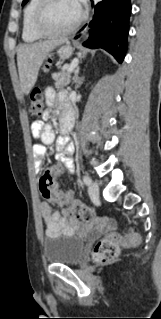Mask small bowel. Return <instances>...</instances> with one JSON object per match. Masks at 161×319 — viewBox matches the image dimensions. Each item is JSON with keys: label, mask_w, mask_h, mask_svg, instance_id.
I'll return each instance as SVG.
<instances>
[{"label": "small bowel", "mask_w": 161, "mask_h": 319, "mask_svg": "<svg viewBox=\"0 0 161 319\" xmlns=\"http://www.w3.org/2000/svg\"><path fill=\"white\" fill-rule=\"evenodd\" d=\"M45 97L47 105L49 106L48 112L53 109L54 104L60 105L62 108V118H69L72 121L73 112L68 105L67 96L64 93H57L52 87H48L45 90ZM31 137L33 139H40L41 143H34L32 145L33 154L36 158L35 168L40 171L44 168L43 158L46 155L45 145H51L55 141V134L52 128L40 120L34 121L31 124ZM55 149L57 151V159L62 167L67 172L73 170V161L70 157L72 148L70 145V139L67 136H63L56 141ZM48 170L53 174H59L58 166H49ZM72 200H77L74 197L73 191H67L64 193V198L55 202L57 206L62 209V212L52 209V206L48 202H42L40 204V213L46 225V233L48 235H55L60 232L67 234H73L81 231L85 233H91L92 235H100L104 232L114 229V224L104 216L95 217L94 219L79 223L76 220H67V208L68 204ZM95 228L94 231H91Z\"/></svg>", "instance_id": "obj_1"}]
</instances>
